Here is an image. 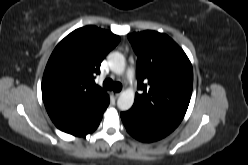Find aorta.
<instances>
[{
    "label": "aorta",
    "instance_id": "762f6f07",
    "mask_svg": "<svg viewBox=\"0 0 248 165\" xmlns=\"http://www.w3.org/2000/svg\"><path fill=\"white\" fill-rule=\"evenodd\" d=\"M108 65L112 72L116 74H122L126 67L125 58L121 53L118 52H112L108 55ZM135 99V93L132 89H127L123 91L118 100H117V106L120 110L126 111L129 110Z\"/></svg>",
    "mask_w": 248,
    "mask_h": 165
}]
</instances>
